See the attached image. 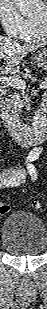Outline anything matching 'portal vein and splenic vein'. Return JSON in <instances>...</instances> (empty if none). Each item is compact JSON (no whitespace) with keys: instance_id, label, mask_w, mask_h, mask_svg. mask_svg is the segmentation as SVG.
Returning <instances> with one entry per match:
<instances>
[{"instance_id":"18ae733b","label":"portal vein and splenic vein","mask_w":47,"mask_h":309,"mask_svg":"<svg viewBox=\"0 0 47 309\" xmlns=\"http://www.w3.org/2000/svg\"><path fill=\"white\" fill-rule=\"evenodd\" d=\"M2 83H7V85L12 86L17 89H25L26 88V82L22 79H19L17 77H11V78H6V77H1ZM46 83L43 82L42 86L46 87Z\"/></svg>"}]
</instances>
